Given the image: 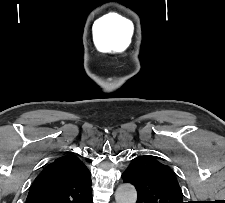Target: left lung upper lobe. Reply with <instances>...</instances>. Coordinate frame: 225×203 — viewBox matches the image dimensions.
<instances>
[{
  "instance_id": "left-lung-upper-lobe-1",
  "label": "left lung upper lobe",
  "mask_w": 225,
  "mask_h": 203,
  "mask_svg": "<svg viewBox=\"0 0 225 203\" xmlns=\"http://www.w3.org/2000/svg\"><path fill=\"white\" fill-rule=\"evenodd\" d=\"M122 179L135 186L137 203H184L174 172L151 155L136 156Z\"/></svg>"
}]
</instances>
